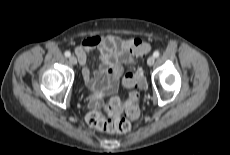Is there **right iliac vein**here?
Here are the masks:
<instances>
[{
    "label": "right iliac vein",
    "instance_id": "right-iliac-vein-1",
    "mask_svg": "<svg viewBox=\"0 0 230 155\" xmlns=\"http://www.w3.org/2000/svg\"><path fill=\"white\" fill-rule=\"evenodd\" d=\"M69 62L73 65L77 64V58L73 55L69 56Z\"/></svg>",
    "mask_w": 230,
    "mask_h": 155
}]
</instances>
